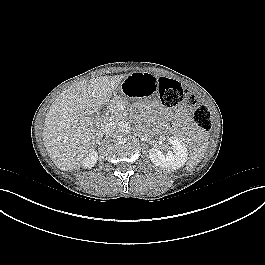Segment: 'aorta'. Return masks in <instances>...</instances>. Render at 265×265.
Wrapping results in <instances>:
<instances>
[{"mask_svg":"<svg viewBox=\"0 0 265 265\" xmlns=\"http://www.w3.org/2000/svg\"><path fill=\"white\" fill-rule=\"evenodd\" d=\"M118 128L120 131L128 133L131 130V125L129 122L121 121L118 123Z\"/></svg>","mask_w":265,"mask_h":265,"instance_id":"obj_1","label":"aorta"}]
</instances>
